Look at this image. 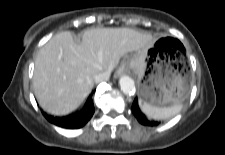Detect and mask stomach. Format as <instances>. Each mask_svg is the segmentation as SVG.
Listing matches in <instances>:
<instances>
[{
    "label": "stomach",
    "instance_id": "0dacf381",
    "mask_svg": "<svg viewBox=\"0 0 225 155\" xmlns=\"http://www.w3.org/2000/svg\"><path fill=\"white\" fill-rule=\"evenodd\" d=\"M125 64L138 77L140 99L152 106L169 107L181 103L188 95L190 85L185 67L161 58L158 41L145 55L135 52Z\"/></svg>",
    "mask_w": 225,
    "mask_h": 155
}]
</instances>
